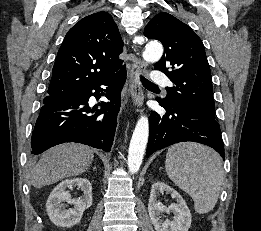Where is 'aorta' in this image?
Segmentation results:
<instances>
[{"instance_id": "obj_1", "label": "aorta", "mask_w": 261, "mask_h": 231, "mask_svg": "<svg viewBox=\"0 0 261 231\" xmlns=\"http://www.w3.org/2000/svg\"><path fill=\"white\" fill-rule=\"evenodd\" d=\"M162 55V45L157 42H150L145 47L143 59L146 62L154 63L160 60ZM148 134V118L141 116L135 126L128 151V170L131 174H135L140 169L148 141Z\"/></svg>"}]
</instances>
